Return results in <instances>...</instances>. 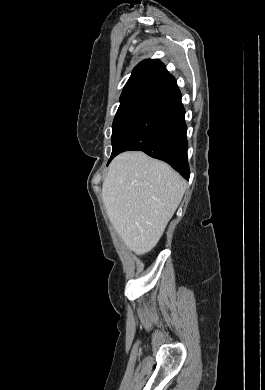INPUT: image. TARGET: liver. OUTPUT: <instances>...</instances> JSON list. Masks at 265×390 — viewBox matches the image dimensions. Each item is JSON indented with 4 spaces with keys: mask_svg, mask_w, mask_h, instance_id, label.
<instances>
[{
    "mask_svg": "<svg viewBox=\"0 0 265 390\" xmlns=\"http://www.w3.org/2000/svg\"><path fill=\"white\" fill-rule=\"evenodd\" d=\"M185 189L186 181L168 164L143 152H124L110 164L102 199L124 244L143 255L157 245Z\"/></svg>",
    "mask_w": 265,
    "mask_h": 390,
    "instance_id": "6515ba94",
    "label": "liver"
}]
</instances>
